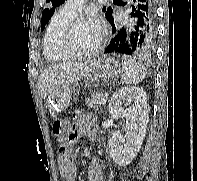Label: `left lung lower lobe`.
Masks as SVG:
<instances>
[{"instance_id": "0a47b994", "label": "left lung lower lobe", "mask_w": 197, "mask_h": 181, "mask_svg": "<svg viewBox=\"0 0 197 181\" xmlns=\"http://www.w3.org/2000/svg\"><path fill=\"white\" fill-rule=\"evenodd\" d=\"M131 23L116 29L114 19L110 20L116 33L104 53H120L150 57L155 48L157 36L156 0H132Z\"/></svg>"}]
</instances>
